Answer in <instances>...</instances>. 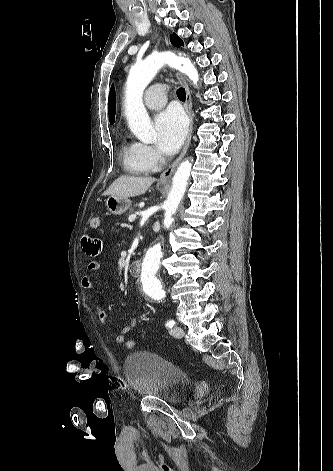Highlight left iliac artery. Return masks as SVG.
Instances as JSON below:
<instances>
[{
    "instance_id": "left-iliac-artery-1",
    "label": "left iliac artery",
    "mask_w": 333,
    "mask_h": 471,
    "mask_svg": "<svg viewBox=\"0 0 333 471\" xmlns=\"http://www.w3.org/2000/svg\"><path fill=\"white\" fill-rule=\"evenodd\" d=\"M174 325H175V321H174V320H169V321H167V323H166V326H167L168 328H172Z\"/></svg>"
}]
</instances>
